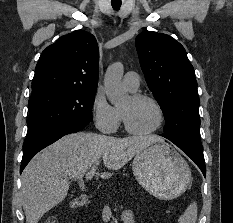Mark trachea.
<instances>
[{
	"mask_svg": "<svg viewBox=\"0 0 233 223\" xmlns=\"http://www.w3.org/2000/svg\"><path fill=\"white\" fill-rule=\"evenodd\" d=\"M120 6H121V4H113V3H112V7H113V9H115V10H119Z\"/></svg>",
	"mask_w": 233,
	"mask_h": 223,
	"instance_id": "trachea-1",
	"label": "trachea"
}]
</instances>
